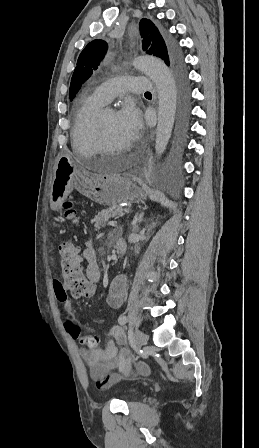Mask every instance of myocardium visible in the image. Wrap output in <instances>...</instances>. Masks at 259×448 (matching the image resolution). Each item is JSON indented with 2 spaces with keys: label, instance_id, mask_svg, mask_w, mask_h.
Listing matches in <instances>:
<instances>
[{
  "label": "myocardium",
  "instance_id": "1",
  "mask_svg": "<svg viewBox=\"0 0 259 448\" xmlns=\"http://www.w3.org/2000/svg\"><path fill=\"white\" fill-rule=\"evenodd\" d=\"M97 143L99 146V153L101 155L117 151V149L114 146H112V144L108 140L105 123H104V112H100L97 115ZM75 156H78L79 163H86V160L83 157H81L79 154H77V152H75ZM99 171H103V170H99Z\"/></svg>",
  "mask_w": 259,
  "mask_h": 448
}]
</instances>
